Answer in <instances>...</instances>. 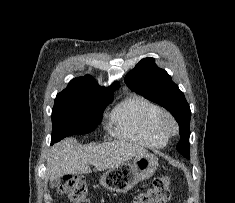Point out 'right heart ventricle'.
Instances as JSON below:
<instances>
[{
    "instance_id": "right-heart-ventricle-1",
    "label": "right heart ventricle",
    "mask_w": 235,
    "mask_h": 203,
    "mask_svg": "<svg viewBox=\"0 0 235 203\" xmlns=\"http://www.w3.org/2000/svg\"><path fill=\"white\" fill-rule=\"evenodd\" d=\"M161 108L149 99L132 94L119 102L110 114L114 135L149 148L164 147L168 138L154 130Z\"/></svg>"
}]
</instances>
